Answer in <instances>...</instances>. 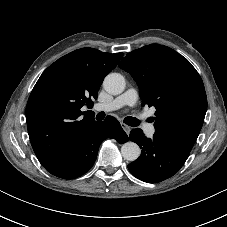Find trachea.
Returning <instances> with one entry per match:
<instances>
[{"mask_svg": "<svg viewBox=\"0 0 227 227\" xmlns=\"http://www.w3.org/2000/svg\"><path fill=\"white\" fill-rule=\"evenodd\" d=\"M105 117V113L104 112H100L97 114L96 119L97 120H103ZM124 123H126L129 126H137L139 124V120L133 117H126L124 119Z\"/></svg>", "mask_w": 227, "mask_h": 227, "instance_id": "1", "label": "trachea"}]
</instances>
